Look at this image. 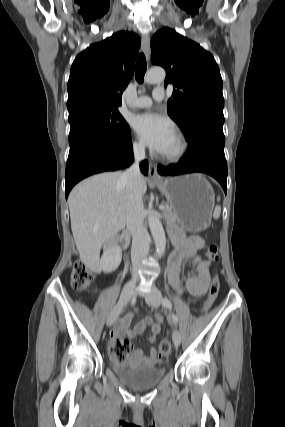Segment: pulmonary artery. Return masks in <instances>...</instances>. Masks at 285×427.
Returning <instances> with one entry per match:
<instances>
[{
    "mask_svg": "<svg viewBox=\"0 0 285 427\" xmlns=\"http://www.w3.org/2000/svg\"><path fill=\"white\" fill-rule=\"evenodd\" d=\"M165 97V90L163 87L158 86L152 93V98L149 96H140L136 98L132 105L135 108H148L152 105L153 101H161Z\"/></svg>",
    "mask_w": 285,
    "mask_h": 427,
    "instance_id": "e3ab8cb5",
    "label": "pulmonary artery"
}]
</instances>
